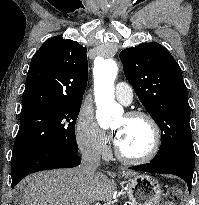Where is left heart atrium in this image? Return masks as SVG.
<instances>
[{
	"label": "left heart atrium",
	"instance_id": "obj_1",
	"mask_svg": "<svg viewBox=\"0 0 199 205\" xmlns=\"http://www.w3.org/2000/svg\"><path fill=\"white\" fill-rule=\"evenodd\" d=\"M115 138H116V140L118 139V137H119V132H115Z\"/></svg>",
	"mask_w": 199,
	"mask_h": 205
}]
</instances>
